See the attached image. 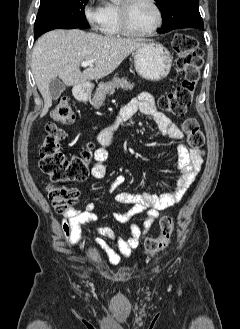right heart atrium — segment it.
<instances>
[{"mask_svg":"<svg viewBox=\"0 0 240 329\" xmlns=\"http://www.w3.org/2000/svg\"><path fill=\"white\" fill-rule=\"evenodd\" d=\"M104 15V7L95 0H89L84 7V16L86 21L94 29L101 27L104 20Z\"/></svg>","mask_w":240,"mask_h":329,"instance_id":"obj_1","label":"right heart atrium"}]
</instances>
